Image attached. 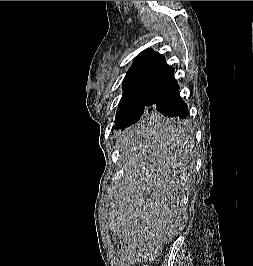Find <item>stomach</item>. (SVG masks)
<instances>
[{
  "label": "stomach",
  "instance_id": "obj_1",
  "mask_svg": "<svg viewBox=\"0 0 253 266\" xmlns=\"http://www.w3.org/2000/svg\"><path fill=\"white\" fill-rule=\"evenodd\" d=\"M184 139H185V135H184ZM186 139H188V137L186 136Z\"/></svg>",
  "mask_w": 253,
  "mask_h": 266
}]
</instances>
